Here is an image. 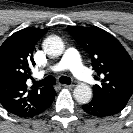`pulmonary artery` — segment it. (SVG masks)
<instances>
[{"mask_svg":"<svg viewBox=\"0 0 133 133\" xmlns=\"http://www.w3.org/2000/svg\"><path fill=\"white\" fill-rule=\"evenodd\" d=\"M70 69L81 81L93 84L94 80L88 69L82 64L80 55L75 48H68L59 62L49 67V71L58 72Z\"/></svg>","mask_w":133,"mask_h":133,"instance_id":"obj_1","label":"pulmonary artery"}]
</instances>
